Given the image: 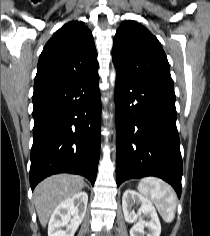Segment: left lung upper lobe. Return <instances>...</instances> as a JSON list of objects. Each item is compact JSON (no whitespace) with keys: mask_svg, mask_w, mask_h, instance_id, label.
Instances as JSON below:
<instances>
[{"mask_svg":"<svg viewBox=\"0 0 210 236\" xmlns=\"http://www.w3.org/2000/svg\"><path fill=\"white\" fill-rule=\"evenodd\" d=\"M117 74L142 82L173 86L169 63L160 42L134 21L117 29L112 50Z\"/></svg>","mask_w":210,"mask_h":236,"instance_id":"1","label":"left lung upper lobe"}]
</instances>
